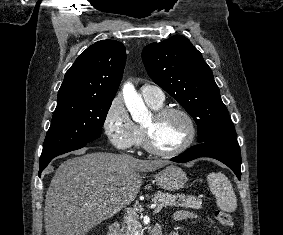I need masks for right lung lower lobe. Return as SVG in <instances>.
<instances>
[{"label": "right lung lower lobe", "instance_id": "obj_1", "mask_svg": "<svg viewBox=\"0 0 283 235\" xmlns=\"http://www.w3.org/2000/svg\"><path fill=\"white\" fill-rule=\"evenodd\" d=\"M85 145H86V143H81V144L74 145V146H72V147H70V148H68V149H66V150H64V151H61V152L57 153L56 155H54L53 157H51V158H49V159L40 162V165H39V166H40L39 175H41V172L46 168V166L48 165V163H49L54 157H56V156H58V155H61V154H63V153H67V152H70V151H73V150L80 149V148L84 147Z\"/></svg>", "mask_w": 283, "mask_h": 235}]
</instances>
